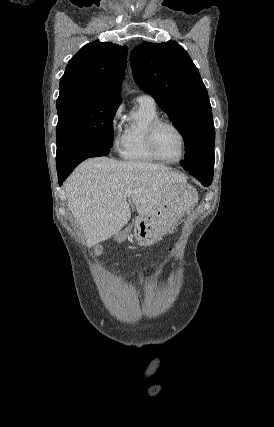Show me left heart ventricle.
<instances>
[{
	"mask_svg": "<svg viewBox=\"0 0 274 427\" xmlns=\"http://www.w3.org/2000/svg\"><path fill=\"white\" fill-rule=\"evenodd\" d=\"M156 145L160 154L169 161L180 158L182 143L179 134L169 126H162L157 131Z\"/></svg>",
	"mask_w": 274,
	"mask_h": 427,
	"instance_id": "left-heart-ventricle-1",
	"label": "left heart ventricle"
}]
</instances>
